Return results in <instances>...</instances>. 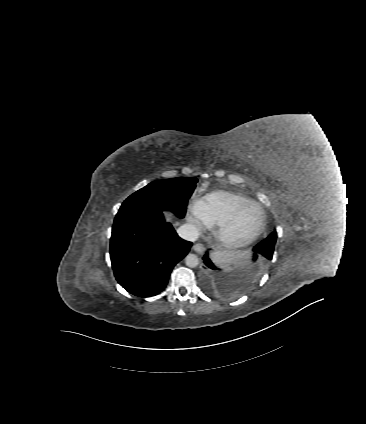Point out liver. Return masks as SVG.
Segmentation results:
<instances>
[{"label":"liver","instance_id":"6515ba94","mask_svg":"<svg viewBox=\"0 0 366 424\" xmlns=\"http://www.w3.org/2000/svg\"><path fill=\"white\" fill-rule=\"evenodd\" d=\"M166 218H167V220H169V221H172V219H173V218H172V216H171L170 214H168V213L166 214Z\"/></svg>","mask_w":366,"mask_h":424}]
</instances>
